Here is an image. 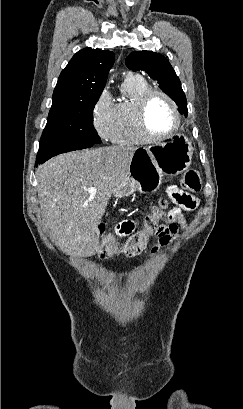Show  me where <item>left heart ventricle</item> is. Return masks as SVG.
Returning a JSON list of instances; mask_svg holds the SVG:
<instances>
[{
    "mask_svg": "<svg viewBox=\"0 0 243 409\" xmlns=\"http://www.w3.org/2000/svg\"><path fill=\"white\" fill-rule=\"evenodd\" d=\"M146 123L151 133L163 135L175 125V118L169 103L161 96H153L147 106Z\"/></svg>",
    "mask_w": 243,
    "mask_h": 409,
    "instance_id": "1",
    "label": "left heart ventricle"
}]
</instances>
